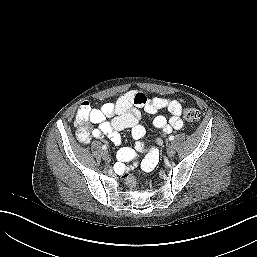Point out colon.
Segmentation results:
<instances>
[{"instance_id":"obj_1","label":"colon","mask_w":257,"mask_h":257,"mask_svg":"<svg viewBox=\"0 0 257 257\" xmlns=\"http://www.w3.org/2000/svg\"><path fill=\"white\" fill-rule=\"evenodd\" d=\"M89 106L90 105L88 104V102H83L79 108V110H81L80 111V119H79L81 124L87 123V119H88V116L90 113ZM183 117H184L185 121L191 127H193L200 118V112L198 109H196L194 107H187L183 111ZM127 185L132 189H135L137 187V183L135 182V180L130 177H127Z\"/></svg>"}]
</instances>
